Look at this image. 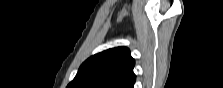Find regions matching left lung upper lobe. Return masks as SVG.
Instances as JSON below:
<instances>
[{"instance_id": "5c2ea615", "label": "left lung upper lobe", "mask_w": 223, "mask_h": 88, "mask_svg": "<svg viewBox=\"0 0 223 88\" xmlns=\"http://www.w3.org/2000/svg\"><path fill=\"white\" fill-rule=\"evenodd\" d=\"M135 60L126 47H117L88 58L67 88H134Z\"/></svg>"}]
</instances>
